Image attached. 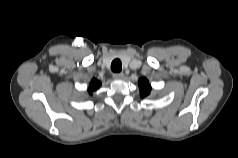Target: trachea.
I'll list each match as a JSON object with an SVG mask.
<instances>
[{
  "label": "trachea",
  "mask_w": 238,
  "mask_h": 158,
  "mask_svg": "<svg viewBox=\"0 0 238 158\" xmlns=\"http://www.w3.org/2000/svg\"><path fill=\"white\" fill-rule=\"evenodd\" d=\"M111 70L116 73H118L122 70V63L119 59H115L112 61Z\"/></svg>",
  "instance_id": "obj_1"
}]
</instances>
